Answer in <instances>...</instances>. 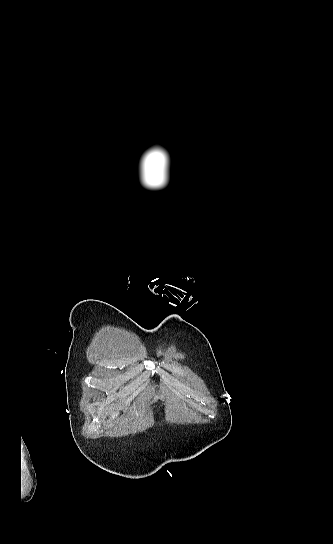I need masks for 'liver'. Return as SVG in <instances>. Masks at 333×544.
<instances>
[{
  "mask_svg": "<svg viewBox=\"0 0 333 544\" xmlns=\"http://www.w3.org/2000/svg\"><path fill=\"white\" fill-rule=\"evenodd\" d=\"M118 414L117 413H113L111 414V418L114 419Z\"/></svg>",
  "mask_w": 333,
  "mask_h": 544,
  "instance_id": "1",
  "label": "liver"
}]
</instances>
